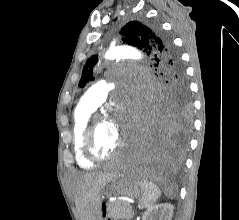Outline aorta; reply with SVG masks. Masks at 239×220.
Returning a JSON list of instances; mask_svg holds the SVG:
<instances>
[{
  "mask_svg": "<svg viewBox=\"0 0 239 220\" xmlns=\"http://www.w3.org/2000/svg\"><path fill=\"white\" fill-rule=\"evenodd\" d=\"M142 56V51H139V48H132V51H128V48H123L119 45L111 47L105 54L107 59H115L122 57L123 61H133L134 55Z\"/></svg>",
  "mask_w": 239,
  "mask_h": 220,
  "instance_id": "762f6f07",
  "label": "aorta"
}]
</instances>
